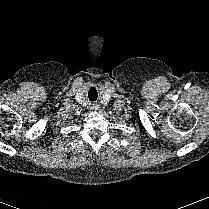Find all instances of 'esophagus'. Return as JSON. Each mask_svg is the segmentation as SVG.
I'll return each instance as SVG.
<instances>
[{
  "instance_id": "esophagus-1",
  "label": "esophagus",
  "mask_w": 209,
  "mask_h": 209,
  "mask_svg": "<svg viewBox=\"0 0 209 209\" xmlns=\"http://www.w3.org/2000/svg\"><path fill=\"white\" fill-rule=\"evenodd\" d=\"M89 107H90V109L93 110V111H97L98 108H99L98 104L95 103V102H91V103L89 104Z\"/></svg>"
}]
</instances>
